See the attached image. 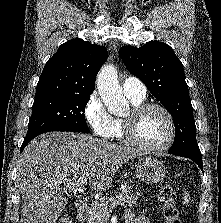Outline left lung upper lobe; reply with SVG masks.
Segmentation results:
<instances>
[{
  "mask_svg": "<svg viewBox=\"0 0 221 223\" xmlns=\"http://www.w3.org/2000/svg\"><path fill=\"white\" fill-rule=\"evenodd\" d=\"M119 55L173 116L176 134L169 151L200 152L184 69L173 49L163 42H149L140 48L124 46Z\"/></svg>",
  "mask_w": 221,
  "mask_h": 223,
  "instance_id": "obj_1",
  "label": "left lung upper lobe"
}]
</instances>
